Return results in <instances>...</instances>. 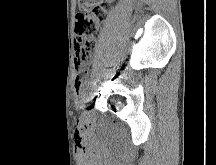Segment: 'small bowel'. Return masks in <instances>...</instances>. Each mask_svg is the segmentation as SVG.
<instances>
[{
    "label": "small bowel",
    "mask_w": 216,
    "mask_h": 165,
    "mask_svg": "<svg viewBox=\"0 0 216 165\" xmlns=\"http://www.w3.org/2000/svg\"><path fill=\"white\" fill-rule=\"evenodd\" d=\"M82 65L76 62V80H75V89L77 92H81L82 89V75H81Z\"/></svg>",
    "instance_id": "obj_1"
}]
</instances>
